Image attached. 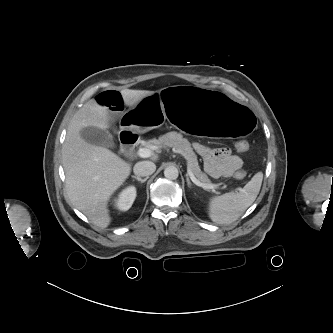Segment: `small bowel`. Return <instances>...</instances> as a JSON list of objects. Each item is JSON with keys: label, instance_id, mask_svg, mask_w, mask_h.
Segmentation results:
<instances>
[{"label": "small bowel", "instance_id": "small-bowel-1", "mask_svg": "<svg viewBox=\"0 0 333 333\" xmlns=\"http://www.w3.org/2000/svg\"><path fill=\"white\" fill-rule=\"evenodd\" d=\"M95 103L107 108L113 115H118L125 107L123 96L115 90L98 94ZM194 148L202 156L205 170L212 177L230 176L242 165V159L227 148H211L200 143H195Z\"/></svg>", "mask_w": 333, "mask_h": 333}]
</instances>
